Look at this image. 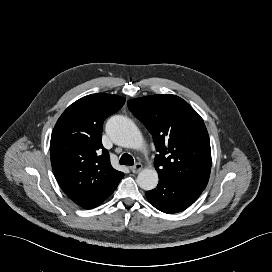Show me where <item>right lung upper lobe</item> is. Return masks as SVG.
<instances>
[{
    "label": "right lung upper lobe",
    "mask_w": 272,
    "mask_h": 272,
    "mask_svg": "<svg viewBox=\"0 0 272 272\" xmlns=\"http://www.w3.org/2000/svg\"><path fill=\"white\" fill-rule=\"evenodd\" d=\"M125 98L97 93L71 104L58 119L50 142L51 164L66 195L85 209L100 205L117 188L124 173L110 164L102 145L104 120Z\"/></svg>",
    "instance_id": "1"
}]
</instances>
